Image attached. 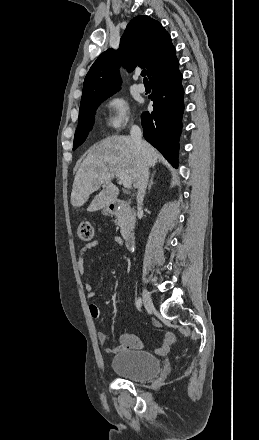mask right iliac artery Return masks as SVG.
<instances>
[{
  "mask_svg": "<svg viewBox=\"0 0 259 440\" xmlns=\"http://www.w3.org/2000/svg\"><path fill=\"white\" fill-rule=\"evenodd\" d=\"M141 306H142V299L138 298L136 301V308L139 310L141 308Z\"/></svg>",
  "mask_w": 259,
  "mask_h": 440,
  "instance_id": "obj_1",
  "label": "right iliac artery"
}]
</instances>
